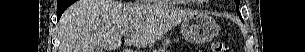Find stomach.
Listing matches in <instances>:
<instances>
[{"mask_svg":"<svg viewBox=\"0 0 305 52\" xmlns=\"http://www.w3.org/2000/svg\"><path fill=\"white\" fill-rule=\"evenodd\" d=\"M217 30V22L211 16L200 12L192 13L181 23L182 36L192 43L211 41L216 36ZM169 44V40L164 41V46Z\"/></svg>","mask_w":305,"mask_h":52,"instance_id":"obj_1","label":"stomach"}]
</instances>
